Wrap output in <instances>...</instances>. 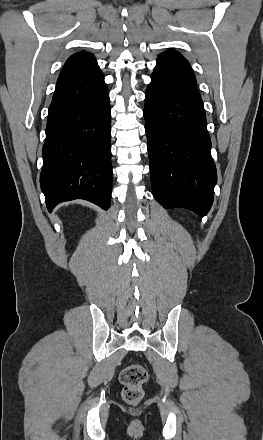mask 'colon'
Returning <instances> with one entry per match:
<instances>
[{"label":"colon","instance_id":"colon-1","mask_svg":"<svg viewBox=\"0 0 263 440\" xmlns=\"http://www.w3.org/2000/svg\"><path fill=\"white\" fill-rule=\"evenodd\" d=\"M148 373L140 364L125 367L120 374V381L124 385L123 400L131 405L139 403L143 396V385L147 381Z\"/></svg>","mask_w":263,"mask_h":440}]
</instances>
